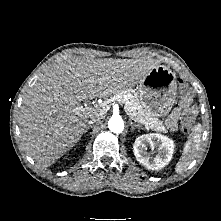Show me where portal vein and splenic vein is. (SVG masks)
I'll list each match as a JSON object with an SVG mask.
<instances>
[{"mask_svg":"<svg viewBox=\"0 0 221 221\" xmlns=\"http://www.w3.org/2000/svg\"><path fill=\"white\" fill-rule=\"evenodd\" d=\"M121 103V102H119ZM109 109V106L107 103H102V104H98L95 105L94 107H90V106H81L79 108V110L83 113H93V114H97V115H103L107 110ZM146 128H149L146 124H144Z\"/></svg>","mask_w":221,"mask_h":221,"instance_id":"obj_1","label":"portal vein and splenic vein"}]
</instances>
